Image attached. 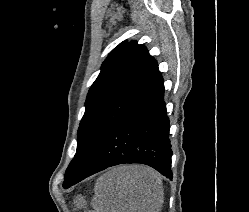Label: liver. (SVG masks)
<instances>
[{"label":"liver","instance_id":"obj_1","mask_svg":"<svg viewBox=\"0 0 249 212\" xmlns=\"http://www.w3.org/2000/svg\"><path fill=\"white\" fill-rule=\"evenodd\" d=\"M160 174L148 166H114L95 184V212H160Z\"/></svg>","mask_w":249,"mask_h":212}]
</instances>
